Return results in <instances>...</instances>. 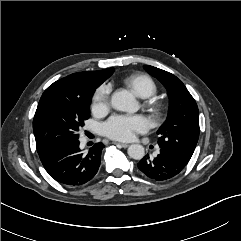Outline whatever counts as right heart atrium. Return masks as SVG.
I'll use <instances>...</instances> for the list:
<instances>
[{
  "label": "right heart atrium",
  "mask_w": 241,
  "mask_h": 241,
  "mask_svg": "<svg viewBox=\"0 0 241 241\" xmlns=\"http://www.w3.org/2000/svg\"><path fill=\"white\" fill-rule=\"evenodd\" d=\"M111 87L109 84H102L93 95L92 109L95 113H104L109 108V97Z\"/></svg>",
  "instance_id": "obj_1"
}]
</instances>
